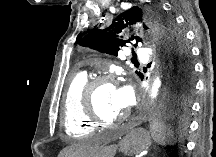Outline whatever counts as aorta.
Listing matches in <instances>:
<instances>
[{
	"label": "aorta",
	"mask_w": 216,
	"mask_h": 157,
	"mask_svg": "<svg viewBox=\"0 0 216 157\" xmlns=\"http://www.w3.org/2000/svg\"><path fill=\"white\" fill-rule=\"evenodd\" d=\"M161 85H162V82H161L160 76H157L153 82V85H152V88L150 91V98L151 99H154L158 96L159 89H160Z\"/></svg>",
	"instance_id": "aorta-1"
}]
</instances>
